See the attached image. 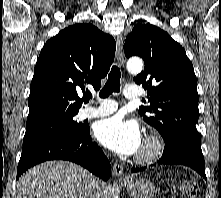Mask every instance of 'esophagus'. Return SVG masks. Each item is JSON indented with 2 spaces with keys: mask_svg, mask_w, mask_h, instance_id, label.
<instances>
[{
  "mask_svg": "<svg viewBox=\"0 0 221 198\" xmlns=\"http://www.w3.org/2000/svg\"><path fill=\"white\" fill-rule=\"evenodd\" d=\"M116 43H117V59L119 64L125 68V59H124V53H123V39L121 35H118L116 37ZM112 173L114 177L120 178L123 174V167L119 163H114Z\"/></svg>",
  "mask_w": 221,
  "mask_h": 198,
  "instance_id": "esophagus-1",
  "label": "esophagus"
}]
</instances>
